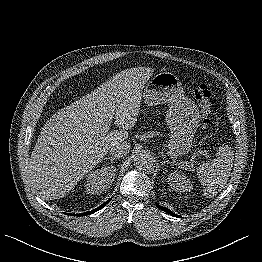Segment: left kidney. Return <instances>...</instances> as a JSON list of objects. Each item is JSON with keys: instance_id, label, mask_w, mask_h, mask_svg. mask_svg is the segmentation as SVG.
Here are the masks:
<instances>
[{"instance_id": "5707ae66", "label": "left kidney", "mask_w": 262, "mask_h": 262, "mask_svg": "<svg viewBox=\"0 0 262 262\" xmlns=\"http://www.w3.org/2000/svg\"><path fill=\"white\" fill-rule=\"evenodd\" d=\"M168 184L177 192H190L193 186L189 178L183 173L175 172L168 175Z\"/></svg>"}]
</instances>
